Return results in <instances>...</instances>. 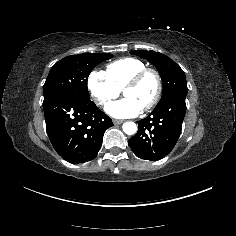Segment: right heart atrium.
Here are the masks:
<instances>
[{
  "mask_svg": "<svg viewBox=\"0 0 236 236\" xmlns=\"http://www.w3.org/2000/svg\"><path fill=\"white\" fill-rule=\"evenodd\" d=\"M87 86L94 103L100 108H105L120 94V90L103 71H92L88 76Z\"/></svg>",
  "mask_w": 236,
  "mask_h": 236,
  "instance_id": "1",
  "label": "right heart atrium"
}]
</instances>
